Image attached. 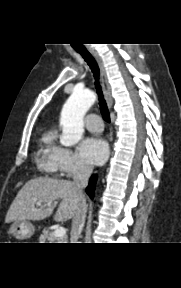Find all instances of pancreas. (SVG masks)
Masks as SVG:
<instances>
[{"label": "pancreas", "mask_w": 181, "mask_h": 288, "mask_svg": "<svg viewBox=\"0 0 181 288\" xmlns=\"http://www.w3.org/2000/svg\"><path fill=\"white\" fill-rule=\"evenodd\" d=\"M40 243H65V237H56L54 232L44 229L39 237Z\"/></svg>", "instance_id": "obj_1"}]
</instances>
